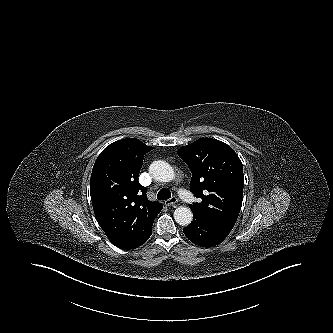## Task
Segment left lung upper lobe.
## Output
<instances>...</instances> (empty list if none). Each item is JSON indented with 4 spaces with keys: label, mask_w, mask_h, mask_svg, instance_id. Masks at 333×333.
<instances>
[{
    "label": "left lung upper lobe",
    "mask_w": 333,
    "mask_h": 333,
    "mask_svg": "<svg viewBox=\"0 0 333 333\" xmlns=\"http://www.w3.org/2000/svg\"><path fill=\"white\" fill-rule=\"evenodd\" d=\"M192 172L190 190L201 203L189 204L216 223L233 228L243 200V167L235 151L216 139L201 138L178 150Z\"/></svg>",
    "instance_id": "left-lung-upper-lobe-1"
}]
</instances>
